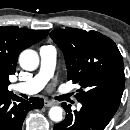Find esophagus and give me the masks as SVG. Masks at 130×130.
I'll return each mask as SVG.
<instances>
[{
	"label": "esophagus",
	"instance_id": "esophagus-1",
	"mask_svg": "<svg viewBox=\"0 0 130 130\" xmlns=\"http://www.w3.org/2000/svg\"><path fill=\"white\" fill-rule=\"evenodd\" d=\"M56 104H58V103L56 101H53V100H45L44 101V106L45 107H51V106H54Z\"/></svg>",
	"mask_w": 130,
	"mask_h": 130
}]
</instances>
